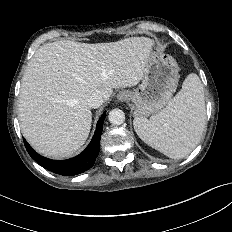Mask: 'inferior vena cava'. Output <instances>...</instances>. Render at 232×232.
<instances>
[{"label":"inferior vena cava","instance_id":"inferior-vena-cava-1","mask_svg":"<svg viewBox=\"0 0 232 232\" xmlns=\"http://www.w3.org/2000/svg\"><path fill=\"white\" fill-rule=\"evenodd\" d=\"M103 101L104 99L101 95L94 93L88 98L87 103L90 108H98L102 105Z\"/></svg>","mask_w":232,"mask_h":232}]
</instances>
